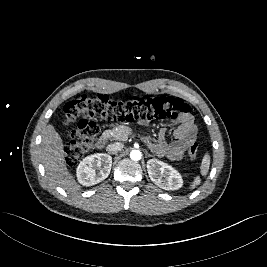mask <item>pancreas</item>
Returning <instances> with one entry per match:
<instances>
[{"label":"pancreas","instance_id":"1","mask_svg":"<svg viewBox=\"0 0 267 267\" xmlns=\"http://www.w3.org/2000/svg\"><path fill=\"white\" fill-rule=\"evenodd\" d=\"M131 134V129L125 125H119L118 127L106 130L104 135L112 140L126 141Z\"/></svg>","mask_w":267,"mask_h":267}]
</instances>
